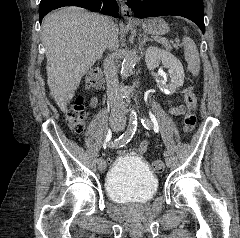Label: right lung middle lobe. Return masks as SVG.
<instances>
[{"instance_id": "obj_1", "label": "right lung middle lobe", "mask_w": 240, "mask_h": 238, "mask_svg": "<svg viewBox=\"0 0 240 238\" xmlns=\"http://www.w3.org/2000/svg\"><path fill=\"white\" fill-rule=\"evenodd\" d=\"M53 0H41L40 5H39V10L45 8L47 4H49Z\"/></svg>"}]
</instances>
